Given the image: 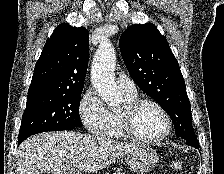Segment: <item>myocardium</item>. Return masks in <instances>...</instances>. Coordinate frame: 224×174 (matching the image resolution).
<instances>
[{
	"instance_id": "1",
	"label": "myocardium",
	"mask_w": 224,
	"mask_h": 174,
	"mask_svg": "<svg viewBox=\"0 0 224 174\" xmlns=\"http://www.w3.org/2000/svg\"><path fill=\"white\" fill-rule=\"evenodd\" d=\"M149 104L158 109V111L162 114L165 119L166 127L164 132L155 138L144 137L140 135L134 126V117L138 109L145 105ZM118 120L120 127L124 134L133 140L144 142V143H159L167 138L172 129V121L170 115L165 110V108L158 103L157 101L150 98H136L131 101H127L123 107L117 112Z\"/></svg>"
}]
</instances>
